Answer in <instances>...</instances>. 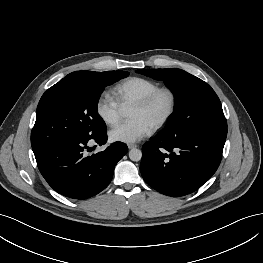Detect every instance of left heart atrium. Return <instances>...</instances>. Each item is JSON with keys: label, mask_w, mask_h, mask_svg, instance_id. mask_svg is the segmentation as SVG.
Segmentation results:
<instances>
[{"label": "left heart atrium", "mask_w": 263, "mask_h": 263, "mask_svg": "<svg viewBox=\"0 0 263 263\" xmlns=\"http://www.w3.org/2000/svg\"><path fill=\"white\" fill-rule=\"evenodd\" d=\"M151 131L152 127L148 123L135 118L114 126L110 130L109 136L112 141L131 144L149 135Z\"/></svg>", "instance_id": "left-heart-atrium-1"}]
</instances>
